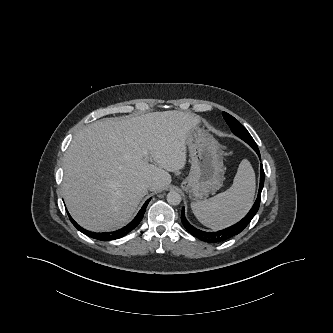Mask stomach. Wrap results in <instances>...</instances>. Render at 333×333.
Returning a JSON list of instances; mask_svg holds the SVG:
<instances>
[{
	"mask_svg": "<svg viewBox=\"0 0 333 333\" xmlns=\"http://www.w3.org/2000/svg\"><path fill=\"white\" fill-rule=\"evenodd\" d=\"M191 169L182 187L190 199L199 201L219 190L224 180L223 152L215 138L196 126L187 138Z\"/></svg>",
	"mask_w": 333,
	"mask_h": 333,
	"instance_id": "stomach-1",
	"label": "stomach"
}]
</instances>
